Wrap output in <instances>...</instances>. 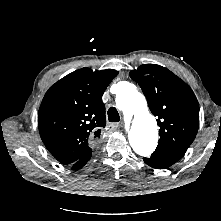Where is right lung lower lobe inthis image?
<instances>
[{
  "label": "right lung lower lobe",
  "instance_id": "1",
  "mask_svg": "<svg viewBox=\"0 0 221 221\" xmlns=\"http://www.w3.org/2000/svg\"><path fill=\"white\" fill-rule=\"evenodd\" d=\"M91 153L87 154L86 156L82 157L81 159H79L77 162H75L74 164H72V169L77 170L82 168L90 159L91 157Z\"/></svg>",
  "mask_w": 221,
  "mask_h": 221
}]
</instances>
